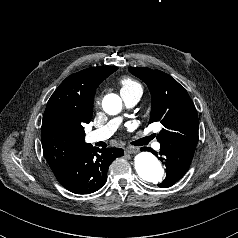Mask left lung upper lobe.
Instances as JSON below:
<instances>
[{"instance_id":"1","label":"left lung upper lobe","mask_w":238,"mask_h":238,"mask_svg":"<svg viewBox=\"0 0 238 238\" xmlns=\"http://www.w3.org/2000/svg\"><path fill=\"white\" fill-rule=\"evenodd\" d=\"M144 81L152 96L149 123L159 121L164 128L157 135L160 144L196 147L198 115L187 91L170 75L145 67H129Z\"/></svg>"}]
</instances>
